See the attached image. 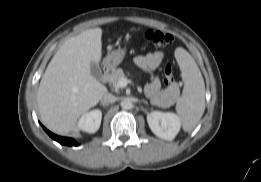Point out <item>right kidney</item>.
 I'll return each mask as SVG.
<instances>
[{
  "label": "right kidney",
  "instance_id": "right-kidney-1",
  "mask_svg": "<svg viewBox=\"0 0 261 182\" xmlns=\"http://www.w3.org/2000/svg\"><path fill=\"white\" fill-rule=\"evenodd\" d=\"M102 112L99 109L84 113L78 121V128L87 133H95L101 124Z\"/></svg>",
  "mask_w": 261,
  "mask_h": 182
}]
</instances>
